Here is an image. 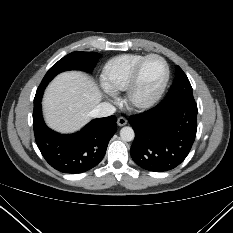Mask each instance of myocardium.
I'll return each instance as SVG.
<instances>
[{"label":"myocardium","instance_id":"f54148a6","mask_svg":"<svg viewBox=\"0 0 233 233\" xmlns=\"http://www.w3.org/2000/svg\"><path fill=\"white\" fill-rule=\"evenodd\" d=\"M151 58H158L163 62L164 66H165V76H164L162 83L156 89V91L154 93H152L148 97H141L139 95V79H140L141 71H142L145 63ZM169 79H170V68H169L167 61L162 56H160L158 54L146 55L137 64V66L135 67V69L131 75L128 87L126 89V101H127V103L131 107H133L135 109H140V110L148 109V108L152 107L153 105H155L159 101V99L164 94V92L167 88Z\"/></svg>","mask_w":233,"mask_h":233}]
</instances>
